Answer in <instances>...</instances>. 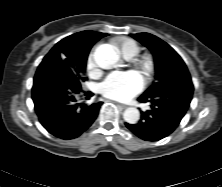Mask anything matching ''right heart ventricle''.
Masks as SVG:
<instances>
[{"instance_id": "right-heart-ventricle-1", "label": "right heart ventricle", "mask_w": 222, "mask_h": 187, "mask_svg": "<svg viewBox=\"0 0 222 187\" xmlns=\"http://www.w3.org/2000/svg\"><path fill=\"white\" fill-rule=\"evenodd\" d=\"M116 44L125 58H133L139 52L138 44L131 39H121Z\"/></svg>"}]
</instances>
